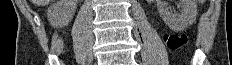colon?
Here are the masks:
<instances>
[{"mask_svg": "<svg viewBox=\"0 0 232 65\" xmlns=\"http://www.w3.org/2000/svg\"><path fill=\"white\" fill-rule=\"evenodd\" d=\"M165 42L169 49L176 50L187 42L185 35L170 34L165 36Z\"/></svg>", "mask_w": 232, "mask_h": 65, "instance_id": "obj_1", "label": "colon"}]
</instances>
